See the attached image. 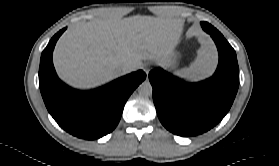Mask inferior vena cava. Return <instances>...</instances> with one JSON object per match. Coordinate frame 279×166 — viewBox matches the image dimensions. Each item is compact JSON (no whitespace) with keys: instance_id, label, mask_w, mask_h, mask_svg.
Here are the masks:
<instances>
[{"instance_id":"602c4592","label":"inferior vena cava","mask_w":279,"mask_h":166,"mask_svg":"<svg viewBox=\"0 0 279 166\" xmlns=\"http://www.w3.org/2000/svg\"><path fill=\"white\" fill-rule=\"evenodd\" d=\"M136 69V66L131 65V64H124L121 68H120V73L121 75L127 74L133 70Z\"/></svg>"}]
</instances>
